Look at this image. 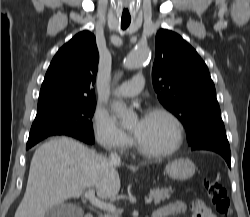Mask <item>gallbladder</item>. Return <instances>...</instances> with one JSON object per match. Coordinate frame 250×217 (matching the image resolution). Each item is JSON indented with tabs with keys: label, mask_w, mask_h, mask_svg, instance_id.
<instances>
[{
	"label": "gallbladder",
	"mask_w": 250,
	"mask_h": 217,
	"mask_svg": "<svg viewBox=\"0 0 250 217\" xmlns=\"http://www.w3.org/2000/svg\"><path fill=\"white\" fill-rule=\"evenodd\" d=\"M82 208L71 203H60L51 207L46 217H83Z\"/></svg>",
	"instance_id": "1"
}]
</instances>
